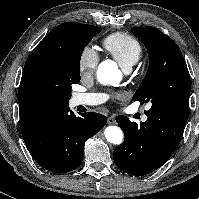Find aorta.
<instances>
[{"instance_id": "aorta-1", "label": "aorta", "mask_w": 199, "mask_h": 199, "mask_svg": "<svg viewBox=\"0 0 199 199\" xmlns=\"http://www.w3.org/2000/svg\"><path fill=\"white\" fill-rule=\"evenodd\" d=\"M97 77L102 84H117L121 80V72L114 64L104 62L98 68ZM104 135L113 144L118 145L123 141V132L117 126H108Z\"/></svg>"}]
</instances>
